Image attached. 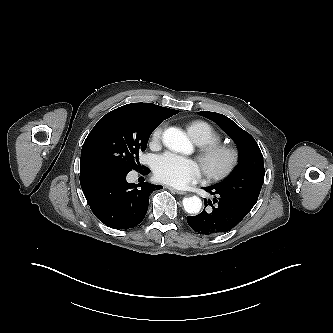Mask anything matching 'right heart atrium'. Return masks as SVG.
Listing matches in <instances>:
<instances>
[{
    "mask_svg": "<svg viewBox=\"0 0 333 333\" xmlns=\"http://www.w3.org/2000/svg\"><path fill=\"white\" fill-rule=\"evenodd\" d=\"M162 134H163V127L162 126H158L156 127L151 134V144L152 145H156L160 142L161 138H162Z\"/></svg>",
    "mask_w": 333,
    "mask_h": 333,
    "instance_id": "right-heart-atrium-1",
    "label": "right heart atrium"
}]
</instances>
